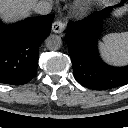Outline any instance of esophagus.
Listing matches in <instances>:
<instances>
[{"label":"esophagus","mask_w":128,"mask_h":128,"mask_svg":"<svg viewBox=\"0 0 128 128\" xmlns=\"http://www.w3.org/2000/svg\"><path fill=\"white\" fill-rule=\"evenodd\" d=\"M64 30H65V24L62 21L57 20L53 22L52 31L54 33H62Z\"/></svg>","instance_id":"34e87169"}]
</instances>
